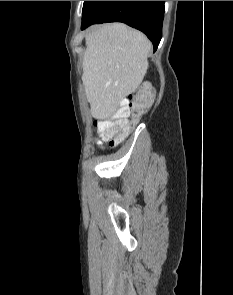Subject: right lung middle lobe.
<instances>
[{
    "label": "right lung middle lobe",
    "instance_id": "dd1d6c3e",
    "mask_svg": "<svg viewBox=\"0 0 233 295\" xmlns=\"http://www.w3.org/2000/svg\"><path fill=\"white\" fill-rule=\"evenodd\" d=\"M89 2H90V1H84L83 12L85 11V9H86V7H87V5H88ZM83 12H82V13H83Z\"/></svg>",
    "mask_w": 233,
    "mask_h": 295
}]
</instances>
